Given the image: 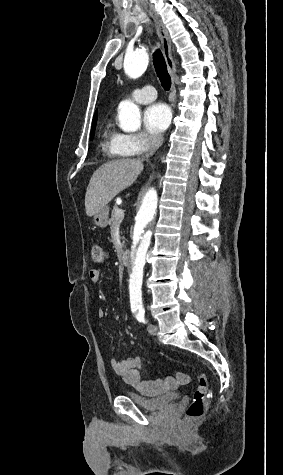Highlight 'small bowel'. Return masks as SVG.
<instances>
[{"label": "small bowel", "mask_w": 283, "mask_h": 475, "mask_svg": "<svg viewBox=\"0 0 283 475\" xmlns=\"http://www.w3.org/2000/svg\"><path fill=\"white\" fill-rule=\"evenodd\" d=\"M89 279L93 283H98L101 279V271L99 269H91L89 271ZM99 318H104L106 312L104 309L100 308L97 312ZM110 365L113 371L118 374L127 384L131 385L136 389H143L146 382L142 380L140 376V369L142 367V359L139 356H130L126 359L112 358L110 360ZM187 374L184 371L179 372L177 383L187 384L182 380L186 379ZM165 379L162 376H156L154 378V383L156 385L164 384Z\"/></svg>", "instance_id": "obj_1"}]
</instances>
